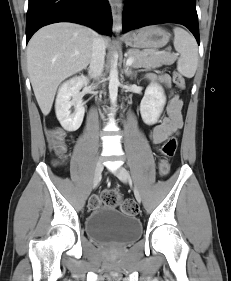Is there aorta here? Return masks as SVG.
<instances>
[{"label":"aorta","instance_id":"obj_1","mask_svg":"<svg viewBox=\"0 0 231 281\" xmlns=\"http://www.w3.org/2000/svg\"><path fill=\"white\" fill-rule=\"evenodd\" d=\"M118 86H119V79H118L117 62L116 60H113L110 74H109V98L113 106H115L117 102Z\"/></svg>","mask_w":231,"mask_h":281}]
</instances>
